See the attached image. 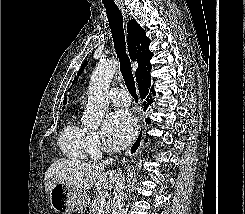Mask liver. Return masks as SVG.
Returning <instances> with one entry per match:
<instances>
[{
	"mask_svg": "<svg viewBox=\"0 0 245 214\" xmlns=\"http://www.w3.org/2000/svg\"><path fill=\"white\" fill-rule=\"evenodd\" d=\"M102 164L81 163L76 160L62 158L55 161L46 171L44 186L49 195L54 184L61 183L76 189L96 191L111 190L116 184L119 174L116 171L103 172Z\"/></svg>",
	"mask_w": 245,
	"mask_h": 214,
	"instance_id": "obj_1",
	"label": "liver"
}]
</instances>
